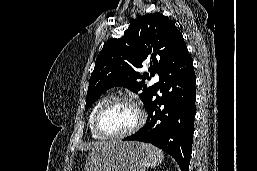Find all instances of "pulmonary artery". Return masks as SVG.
<instances>
[{"instance_id":"pulmonary-artery-1","label":"pulmonary artery","mask_w":257,"mask_h":171,"mask_svg":"<svg viewBox=\"0 0 257 171\" xmlns=\"http://www.w3.org/2000/svg\"><path fill=\"white\" fill-rule=\"evenodd\" d=\"M152 82L159 84V76H158V75H155V76L153 77V79H152Z\"/></svg>"}]
</instances>
